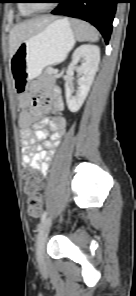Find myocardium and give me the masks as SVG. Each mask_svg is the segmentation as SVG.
<instances>
[{
	"mask_svg": "<svg viewBox=\"0 0 136 296\" xmlns=\"http://www.w3.org/2000/svg\"><path fill=\"white\" fill-rule=\"evenodd\" d=\"M26 6L29 10L33 12H40L48 9L47 5L44 6H37L35 3H32L31 0H26Z\"/></svg>",
	"mask_w": 136,
	"mask_h": 296,
	"instance_id": "obj_1",
	"label": "myocardium"
}]
</instances>
